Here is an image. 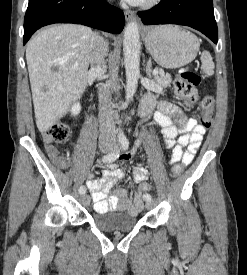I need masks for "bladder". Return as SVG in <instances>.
<instances>
[{"instance_id": "bladder-1", "label": "bladder", "mask_w": 247, "mask_h": 275, "mask_svg": "<svg viewBox=\"0 0 247 275\" xmlns=\"http://www.w3.org/2000/svg\"><path fill=\"white\" fill-rule=\"evenodd\" d=\"M93 221L103 230L126 232L136 226L138 218L126 213L106 211L97 212L93 217Z\"/></svg>"}]
</instances>
